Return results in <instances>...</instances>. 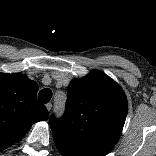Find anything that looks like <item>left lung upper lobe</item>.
I'll return each instance as SVG.
<instances>
[{"label":"left lung upper lobe","instance_id":"left-lung-upper-lobe-1","mask_svg":"<svg viewBox=\"0 0 156 156\" xmlns=\"http://www.w3.org/2000/svg\"><path fill=\"white\" fill-rule=\"evenodd\" d=\"M127 110L121 87L103 72L93 71L69 84L63 117L50 118L53 137L92 156H104L117 143Z\"/></svg>","mask_w":156,"mask_h":156}]
</instances>
